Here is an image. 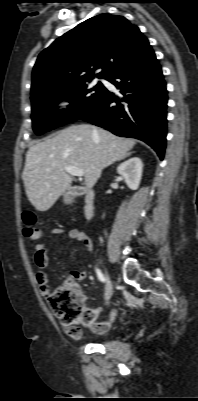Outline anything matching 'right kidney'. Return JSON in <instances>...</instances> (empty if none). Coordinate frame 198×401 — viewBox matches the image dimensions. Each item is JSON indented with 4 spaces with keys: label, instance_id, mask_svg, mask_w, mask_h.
I'll return each instance as SVG.
<instances>
[{
    "label": "right kidney",
    "instance_id": "obj_1",
    "mask_svg": "<svg viewBox=\"0 0 198 401\" xmlns=\"http://www.w3.org/2000/svg\"><path fill=\"white\" fill-rule=\"evenodd\" d=\"M143 163L140 158L133 157L117 167V173L121 175L131 190H137L141 181Z\"/></svg>",
    "mask_w": 198,
    "mask_h": 401
}]
</instances>
